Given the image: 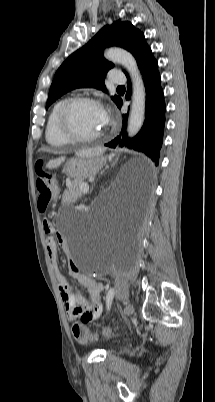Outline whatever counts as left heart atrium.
Listing matches in <instances>:
<instances>
[{
	"instance_id": "obj_1",
	"label": "left heart atrium",
	"mask_w": 215,
	"mask_h": 402,
	"mask_svg": "<svg viewBox=\"0 0 215 402\" xmlns=\"http://www.w3.org/2000/svg\"><path fill=\"white\" fill-rule=\"evenodd\" d=\"M107 122H108V117H107V115H105V124H107Z\"/></svg>"
}]
</instances>
